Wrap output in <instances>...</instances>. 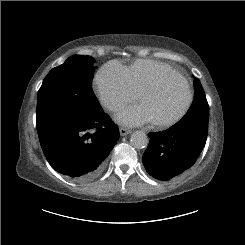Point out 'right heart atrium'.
Instances as JSON below:
<instances>
[{
    "instance_id": "right-heart-atrium-1",
    "label": "right heart atrium",
    "mask_w": 245,
    "mask_h": 245,
    "mask_svg": "<svg viewBox=\"0 0 245 245\" xmlns=\"http://www.w3.org/2000/svg\"><path fill=\"white\" fill-rule=\"evenodd\" d=\"M93 84L101 103L114 113L134 102L139 95L131 84L126 67L116 61L102 65Z\"/></svg>"
}]
</instances>
